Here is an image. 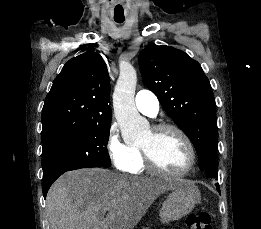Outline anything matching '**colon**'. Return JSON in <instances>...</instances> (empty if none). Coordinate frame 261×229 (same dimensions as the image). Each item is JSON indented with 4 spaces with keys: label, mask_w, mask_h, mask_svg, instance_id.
<instances>
[{
    "label": "colon",
    "mask_w": 261,
    "mask_h": 229,
    "mask_svg": "<svg viewBox=\"0 0 261 229\" xmlns=\"http://www.w3.org/2000/svg\"><path fill=\"white\" fill-rule=\"evenodd\" d=\"M187 229H213L209 213L201 211L190 213L186 220Z\"/></svg>",
    "instance_id": "obj_1"
}]
</instances>
